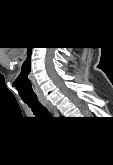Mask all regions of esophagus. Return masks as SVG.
Returning a JSON list of instances; mask_svg holds the SVG:
<instances>
[{
  "label": "esophagus",
  "mask_w": 113,
  "mask_h": 165,
  "mask_svg": "<svg viewBox=\"0 0 113 165\" xmlns=\"http://www.w3.org/2000/svg\"><path fill=\"white\" fill-rule=\"evenodd\" d=\"M40 102L49 110V112L54 116H59L58 111L56 108L46 99H41Z\"/></svg>",
  "instance_id": "1"
}]
</instances>
